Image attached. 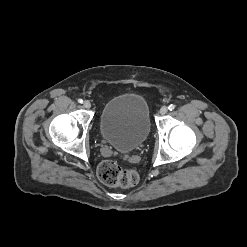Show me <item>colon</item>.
Instances as JSON below:
<instances>
[{"mask_svg": "<svg viewBox=\"0 0 247 247\" xmlns=\"http://www.w3.org/2000/svg\"><path fill=\"white\" fill-rule=\"evenodd\" d=\"M99 179L111 187L129 188L138 183L139 176L134 169L123 168L114 160H104L98 166Z\"/></svg>", "mask_w": 247, "mask_h": 247, "instance_id": "5ec220e1", "label": "colon"}]
</instances>
